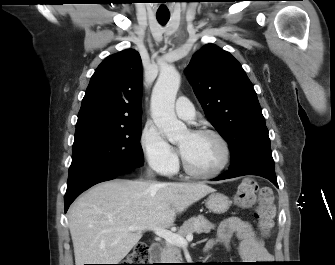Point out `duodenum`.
<instances>
[{"mask_svg": "<svg viewBox=\"0 0 335 265\" xmlns=\"http://www.w3.org/2000/svg\"><path fill=\"white\" fill-rule=\"evenodd\" d=\"M160 252V245L158 243H154L150 247L151 261L156 262L158 260V255Z\"/></svg>", "mask_w": 335, "mask_h": 265, "instance_id": "1", "label": "duodenum"}]
</instances>
